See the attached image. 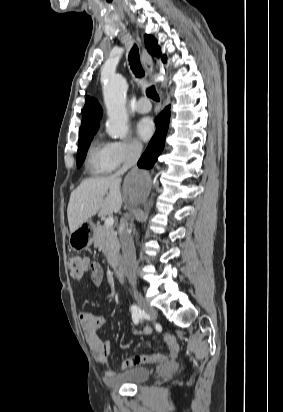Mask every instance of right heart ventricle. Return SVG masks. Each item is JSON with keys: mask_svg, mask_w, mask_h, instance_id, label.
Returning <instances> with one entry per match:
<instances>
[{"mask_svg": "<svg viewBox=\"0 0 283 412\" xmlns=\"http://www.w3.org/2000/svg\"><path fill=\"white\" fill-rule=\"evenodd\" d=\"M87 165L93 174H106L115 169L108 157V144L94 141L87 153Z\"/></svg>", "mask_w": 283, "mask_h": 412, "instance_id": "e07e8e85", "label": "right heart ventricle"}]
</instances>
